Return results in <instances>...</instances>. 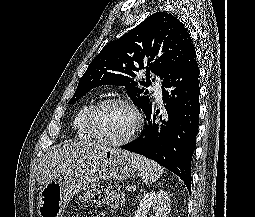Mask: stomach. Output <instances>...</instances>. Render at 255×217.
I'll use <instances>...</instances> for the list:
<instances>
[{
    "mask_svg": "<svg viewBox=\"0 0 255 217\" xmlns=\"http://www.w3.org/2000/svg\"><path fill=\"white\" fill-rule=\"evenodd\" d=\"M136 167L130 153L118 148H104L82 166L46 184L39 193V217H62L71 198L99 180L130 178Z\"/></svg>",
    "mask_w": 255,
    "mask_h": 217,
    "instance_id": "stomach-1",
    "label": "stomach"
}]
</instances>
